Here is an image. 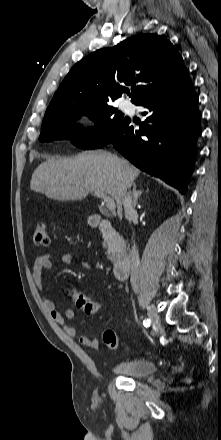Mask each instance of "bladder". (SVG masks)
<instances>
[{
  "label": "bladder",
  "mask_w": 221,
  "mask_h": 440,
  "mask_svg": "<svg viewBox=\"0 0 221 440\" xmlns=\"http://www.w3.org/2000/svg\"><path fill=\"white\" fill-rule=\"evenodd\" d=\"M156 369L157 363L154 360L137 358L118 362L110 368V371L124 377L144 378L153 374Z\"/></svg>",
  "instance_id": "obj_1"
}]
</instances>
